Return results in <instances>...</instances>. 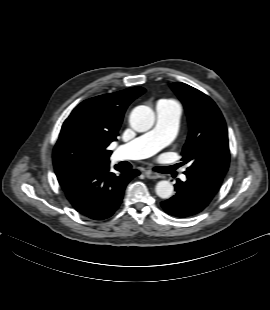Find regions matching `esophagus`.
<instances>
[{"label": "esophagus", "mask_w": 270, "mask_h": 310, "mask_svg": "<svg viewBox=\"0 0 270 310\" xmlns=\"http://www.w3.org/2000/svg\"><path fill=\"white\" fill-rule=\"evenodd\" d=\"M145 176L148 179H158L160 178V175L158 173L152 172V171H146L145 172Z\"/></svg>", "instance_id": "34e87169"}]
</instances>
